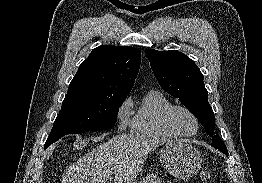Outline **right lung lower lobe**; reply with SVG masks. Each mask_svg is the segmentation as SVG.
I'll return each instance as SVG.
<instances>
[{"instance_id": "obj_1", "label": "right lung lower lobe", "mask_w": 262, "mask_h": 183, "mask_svg": "<svg viewBox=\"0 0 262 183\" xmlns=\"http://www.w3.org/2000/svg\"><path fill=\"white\" fill-rule=\"evenodd\" d=\"M48 146H49L48 144H47V145H45V148H46V147H48Z\"/></svg>"}]
</instances>
